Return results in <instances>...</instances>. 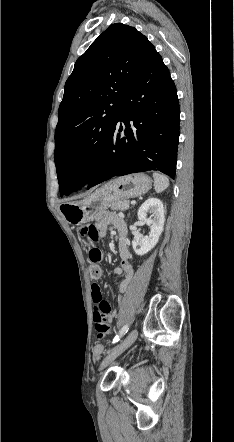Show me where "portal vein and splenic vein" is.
<instances>
[{"label": "portal vein and splenic vein", "mask_w": 234, "mask_h": 442, "mask_svg": "<svg viewBox=\"0 0 234 442\" xmlns=\"http://www.w3.org/2000/svg\"><path fill=\"white\" fill-rule=\"evenodd\" d=\"M131 204H135V202L133 201V202H131Z\"/></svg>", "instance_id": "obj_1"}]
</instances>
